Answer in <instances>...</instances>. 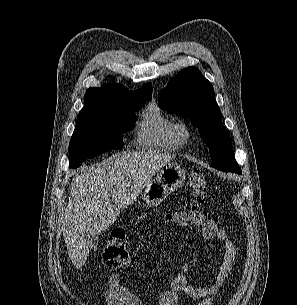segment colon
<instances>
[{
  "label": "colon",
  "mask_w": 297,
  "mask_h": 305,
  "mask_svg": "<svg viewBox=\"0 0 297 305\" xmlns=\"http://www.w3.org/2000/svg\"><path fill=\"white\" fill-rule=\"evenodd\" d=\"M189 183L192 190L191 198L185 202L184 207L194 210L201 206L207 198V185L204 172L195 168L189 176ZM170 221L171 218L169 217ZM102 258L105 266L109 269L124 267L129 261L125 235L123 232L112 233L103 248Z\"/></svg>",
  "instance_id": "obj_1"
}]
</instances>
